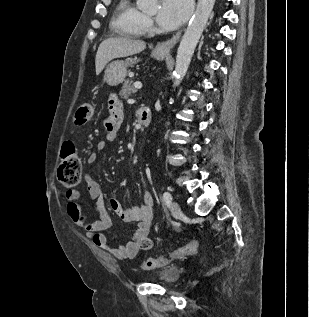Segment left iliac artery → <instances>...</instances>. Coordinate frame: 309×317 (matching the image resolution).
<instances>
[{"mask_svg": "<svg viewBox=\"0 0 309 317\" xmlns=\"http://www.w3.org/2000/svg\"><path fill=\"white\" fill-rule=\"evenodd\" d=\"M163 201L166 204H169L172 201V196H171V194L169 192H164L163 193Z\"/></svg>", "mask_w": 309, "mask_h": 317, "instance_id": "left-iliac-artery-1", "label": "left iliac artery"}]
</instances>
